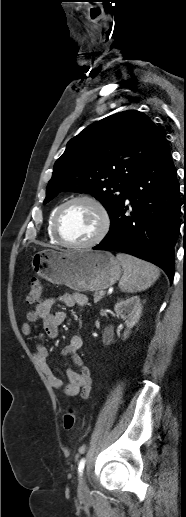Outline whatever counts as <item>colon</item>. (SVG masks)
<instances>
[{
  "instance_id": "1",
  "label": "colon",
  "mask_w": 186,
  "mask_h": 517,
  "mask_svg": "<svg viewBox=\"0 0 186 517\" xmlns=\"http://www.w3.org/2000/svg\"><path fill=\"white\" fill-rule=\"evenodd\" d=\"M42 299V286L36 278H33L28 295L27 303L29 305L37 304ZM76 423V414L74 410H68L63 416L64 429L70 431L74 428Z\"/></svg>"
}]
</instances>
